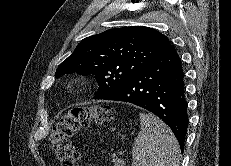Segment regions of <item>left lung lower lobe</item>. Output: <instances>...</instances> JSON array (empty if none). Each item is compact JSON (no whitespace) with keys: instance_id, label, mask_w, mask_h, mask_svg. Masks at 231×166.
<instances>
[{"instance_id":"0a47b994","label":"left lung lower lobe","mask_w":231,"mask_h":166,"mask_svg":"<svg viewBox=\"0 0 231 166\" xmlns=\"http://www.w3.org/2000/svg\"><path fill=\"white\" fill-rule=\"evenodd\" d=\"M102 99L129 102L154 113L172 129L184 150L188 115L183 70L171 43L152 62Z\"/></svg>"}]
</instances>
